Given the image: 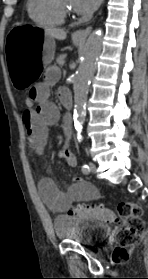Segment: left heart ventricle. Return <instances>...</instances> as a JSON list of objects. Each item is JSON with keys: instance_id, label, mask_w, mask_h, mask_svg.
Instances as JSON below:
<instances>
[{"instance_id": "b2bd125f", "label": "left heart ventricle", "mask_w": 148, "mask_h": 279, "mask_svg": "<svg viewBox=\"0 0 148 279\" xmlns=\"http://www.w3.org/2000/svg\"><path fill=\"white\" fill-rule=\"evenodd\" d=\"M63 4L68 6V7H73V0H62Z\"/></svg>"}]
</instances>
